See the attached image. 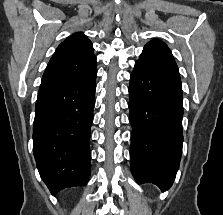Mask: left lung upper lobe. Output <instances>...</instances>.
Masks as SVG:
<instances>
[{"label":"left lung upper lobe","mask_w":223,"mask_h":215,"mask_svg":"<svg viewBox=\"0 0 223 215\" xmlns=\"http://www.w3.org/2000/svg\"><path fill=\"white\" fill-rule=\"evenodd\" d=\"M138 61L172 69L179 73L174 57L167 45L158 39L147 43Z\"/></svg>","instance_id":"obj_1"}]
</instances>
